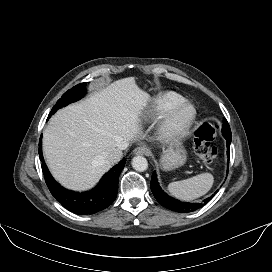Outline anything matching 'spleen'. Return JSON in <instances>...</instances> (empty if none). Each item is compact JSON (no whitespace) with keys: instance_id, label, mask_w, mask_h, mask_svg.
<instances>
[{"instance_id":"obj_1","label":"spleen","mask_w":272,"mask_h":272,"mask_svg":"<svg viewBox=\"0 0 272 272\" xmlns=\"http://www.w3.org/2000/svg\"><path fill=\"white\" fill-rule=\"evenodd\" d=\"M213 182L212 174L202 173L189 179L172 182L168 185V190L177 199L191 201L205 195Z\"/></svg>"}]
</instances>
